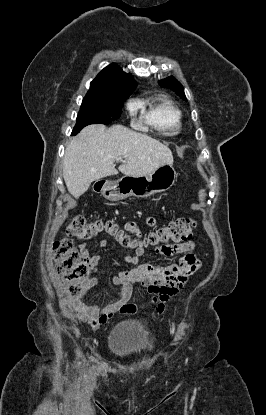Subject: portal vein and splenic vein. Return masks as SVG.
Listing matches in <instances>:
<instances>
[{"label": "portal vein and splenic vein", "mask_w": 266, "mask_h": 415, "mask_svg": "<svg viewBox=\"0 0 266 415\" xmlns=\"http://www.w3.org/2000/svg\"><path fill=\"white\" fill-rule=\"evenodd\" d=\"M122 158H123V156H119L116 159L119 161V160H122Z\"/></svg>", "instance_id": "obj_1"}]
</instances>
